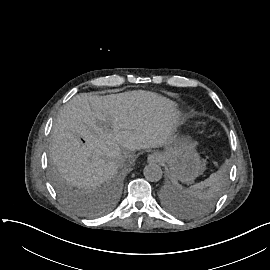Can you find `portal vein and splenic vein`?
Returning <instances> with one entry per match:
<instances>
[{
  "instance_id": "1",
  "label": "portal vein and splenic vein",
  "mask_w": 270,
  "mask_h": 270,
  "mask_svg": "<svg viewBox=\"0 0 270 270\" xmlns=\"http://www.w3.org/2000/svg\"><path fill=\"white\" fill-rule=\"evenodd\" d=\"M102 127H105V124H102Z\"/></svg>"
}]
</instances>
